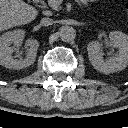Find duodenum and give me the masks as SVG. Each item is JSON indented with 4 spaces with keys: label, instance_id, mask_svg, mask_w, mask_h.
<instances>
[{
    "label": "duodenum",
    "instance_id": "obj_1",
    "mask_svg": "<svg viewBox=\"0 0 128 128\" xmlns=\"http://www.w3.org/2000/svg\"><path fill=\"white\" fill-rule=\"evenodd\" d=\"M35 3H38L39 2V0H33Z\"/></svg>",
    "mask_w": 128,
    "mask_h": 128
}]
</instances>
